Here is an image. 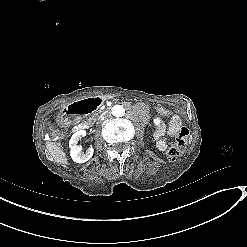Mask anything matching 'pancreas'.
<instances>
[{"label":"pancreas","mask_w":247,"mask_h":247,"mask_svg":"<svg viewBox=\"0 0 247 247\" xmlns=\"http://www.w3.org/2000/svg\"><path fill=\"white\" fill-rule=\"evenodd\" d=\"M97 117H98V114L95 113L89 117L88 121H91L92 123H94L97 120Z\"/></svg>","instance_id":"cf45deb5"}]
</instances>
